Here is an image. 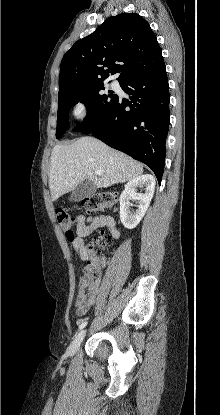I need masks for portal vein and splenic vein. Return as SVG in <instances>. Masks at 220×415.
I'll return each instance as SVG.
<instances>
[{
	"mask_svg": "<svg viewBox=\"0 0 220 415\" xmlns=\"http://www.w3.org/2000/svg\"><path fill=\"white\" fill-rule=\"evenodd\" d=\"M102 174H103L102 171L100 170L96 171V175L101 176Z\"/></svg>",
	"mask_w": 220,
	"mask_h": 415,
	"instance_id": "18ae733b",
	"label": "portal vein and splenic vein"
}]
</instances>
